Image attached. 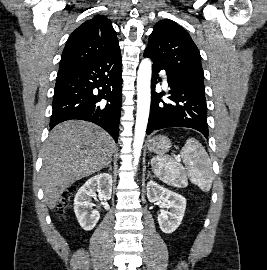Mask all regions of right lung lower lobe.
Wrapping results in <instances>:
<instances>
[{"label":"right lung lower lobe","mask_w":267,"mask_h":270,"mask_svg":"<svg viewBox=\"0 0 267 270\" xmlns=\"http://www.w3.org/2000/svg\"><path fill=\"white\" fill-rule=\"evenodd\" d=\"M95 88L98 92L94 91ZM121 90L120 53L78 66L59 69L53 96L50 129L63 121L86 120L101 126L117 142L121 115Z\"/></svg>","instance_id":"right-lung-lower-lobe-1"}]
</instances>
